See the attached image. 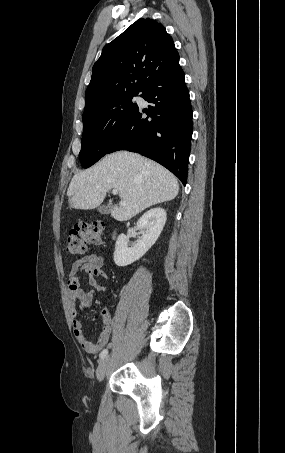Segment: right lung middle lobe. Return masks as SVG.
<instances>
[{"mask_svg":"<svg viewBox=\"0 0 285 453\" xmlns=\"http://www.w3.org/2000/svg\"><path fill=\"white\" fill-rule=\"evenodd\" d=\"M138 93L112 98L83 113V136L79 153L82 167L88 168L109 153L139 109L132 102Z\"/></svg>","mask_w":285,"mask_h":453,"instance_id":"right-lung-middle-lobe-1","label":"right lung middle lobe"}]
</instances>
